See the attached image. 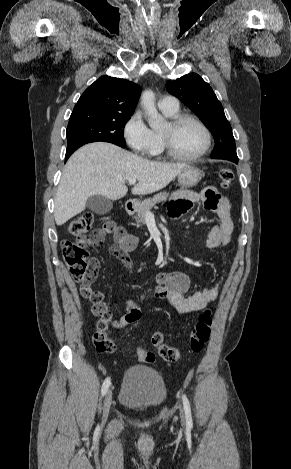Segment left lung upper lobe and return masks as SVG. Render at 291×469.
<instances>
[{
	"label": "left lung upper lobe",
	"mask_w": 291,
	"mask_h": 469,
	"mask_svg": "<svg viewBox=\"0 0 291 469\" xmlns=\"http://www.w3.org/2000/svg\"><path fill=\"white\" fill-rule=\"evenodd\" d=\"M168 92L193 110L215 139L211 158L238 159L232 129L224 109L208 83L198 74L190 73L166 83Z\"/></svg>",
	"instance_id": "5c2ea615"
}]
</instances>
